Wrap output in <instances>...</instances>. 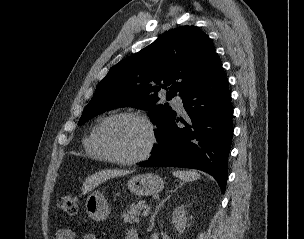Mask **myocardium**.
<instances>
[{
	"label": "myocardium",
	"mask_w": 304,
	"mask_h": 239,
	"mask_svg": "<svg viewBox=\"0 0 304 239\" xmlns=\"http://www.w3.org/2000/svg\"><path fill=\"white\" fill-rule=\"evenodd\" d=\"M121 118H133L136 119L140 122H142L147 130H148V143L145 147V149L137 156L130 157V158H124L116 155L113 153L104 143L102 134L105 129V127L111 123L112 121L121 119ZM157 142V134H156V129L152 121L144 114L140 112H135V111H122L118 112L112 115H109L105 119H103L95 132V143L98 149L104 154V156L111 162L121 164V165H133L139 162L144 161L147 159L150 154L152 153L155 145Z\"/></svg>",
	"instance_id": "f54148a6"
}]
</instances>
